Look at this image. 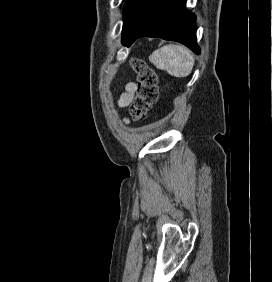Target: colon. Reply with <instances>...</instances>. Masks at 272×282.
I'll use <instances>...</instances> for the list:
<instances>
[{
  "label": "colon",
  "mask_w": 272,
  "mask_h": 282,
  "mask_svg": "<svg viewBox=\"0 0 272 282\" xmlns=\"http://www.w3.org/2000/svg\"><path fill=\"white\" fill-rule=\"evenodd\" d=\"M132 67L137 73V88L130 105V113L133 118L140 119L146 116L156 102L158 77L156 72L141 60L133 61Z\"/></svg>",
  "instance_id": "colon-1"
}]
</instances>
